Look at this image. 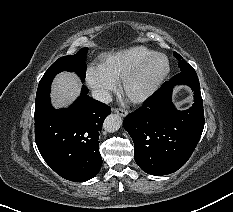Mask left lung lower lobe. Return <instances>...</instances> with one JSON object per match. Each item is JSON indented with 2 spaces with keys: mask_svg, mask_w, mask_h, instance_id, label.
<instances>
[{
  "mask_svg": "<svg viewBox=\"0 0 233 212\" xmlns=\"http://www.w3.org/2000/svg\"><path fill=\"white\" fill-rule=\"evenodd\" d=\"M176 84L194 91V104L177 110L172 101ZM124 129L134 142L138 166L151 175H166L181 168L193 153L204 128L203 102L196 74L177 75L165 82L143 106L128 114Z\"/></svg>",
  "mask_w": 233,
  "mask_h": 212,
  "instance_id": "1",
  "label": "left lung lower lobe"
}]
</instances>
